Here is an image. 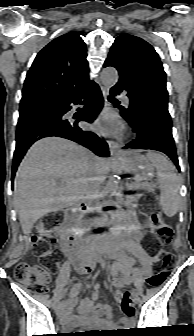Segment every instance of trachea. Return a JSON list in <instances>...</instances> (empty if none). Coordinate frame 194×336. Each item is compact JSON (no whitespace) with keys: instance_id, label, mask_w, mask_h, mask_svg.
I'll return each mask as SVG.
<instances>
[{"instance_id":"1","label":"trachea","mask_w":194,"mask_h":336,"mask_svg":"<svg viewBox=\"0 0 194 336\" xmlns=\"http://www.w3.org/2000/svg\"><path fill=\"white\" fill-rule=\"evenodd\" d=\"M112 99H114L113 97H109V100H112Z\"/></svg>"}]
</instances>
